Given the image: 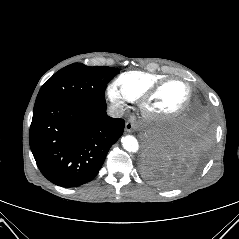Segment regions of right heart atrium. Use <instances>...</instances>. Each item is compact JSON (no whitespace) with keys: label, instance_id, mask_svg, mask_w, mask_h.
I'll return each mask as SVG.
<instances>
[{"label":"right heart atrium","instance_id":"1","mask_svg":"<svg viewBox=\"0 0 239 239\" xmlns=\"http://www.w3.org/2000/svg\"><path fill=\"white\" fill-rule=\"evenodd\" d=\"M107 96L113 107L122 111L127 106V104L131 101L128 97L124 95V93L118 88L116 83H111L107 87Z\"/></svg>","mask_w":239,"mask_h":239}]
</instances>
